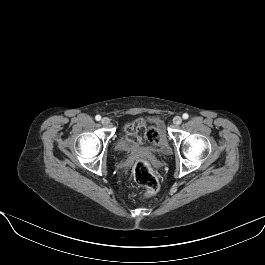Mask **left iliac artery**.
I'll return each instance as SVG.
<instances>
[{"label": "left iliac artery", "mask_w": 265, "mask_h": 265, "mask_svg": "<svg viewBox=\"0 0 265 265\" xmlns=\"http://www.w3.org/2000/svg\"><path fill=\"white\" fill-rule=\"evenodd\" d=\"M182 117H183V119H188L189 115H188L187 113H184V114L182 115Z\"/></svg>", "instance_id": "obj_1"}]
</instances>
